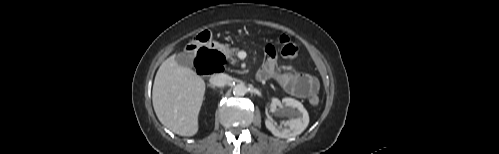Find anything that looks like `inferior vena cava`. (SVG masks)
<instances>
[{"mask_svg":"<svg viewBox=\"0 0 499 154\" xmlns=\"http://www.w3.org/2000/svg\"><path fill=\"white\" fill-rule=\"evenodd\" d=\"M210 83L214 86L223 87L230 83L231 77L227 74H215L210 78Z\"/></svg>","mask_w":499,"mask_h":154,"instance_id":"602c4592","label":"inferior vena cava"}]
</instances>
